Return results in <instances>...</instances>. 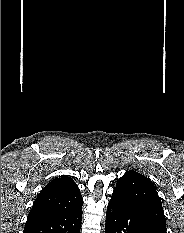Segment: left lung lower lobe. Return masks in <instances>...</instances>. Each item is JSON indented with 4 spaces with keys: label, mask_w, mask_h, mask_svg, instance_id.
Here are the masks:
<instances>
[{
    "label": "left lung lower lobe",
    "mask_w": 184,
    "mask_h": 233,
    "mask_svg": "<svg viewBox=\"0 0 184 233\" xmlns=\"http://www.w3.org/2000/svg\"><path fill=\"white\" fill-rule=\"evenodd\" d=\"M105 233H158L147 218L118 196H112L106 212Z\"/></svg>",
    "instance_id": "1"
}]
</instances>
